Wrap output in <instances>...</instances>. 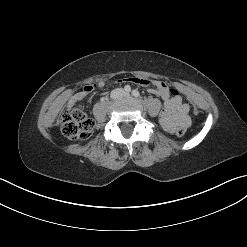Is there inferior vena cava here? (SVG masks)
<instances>
[{"label": "inferior vena cava", "mask_w": 247, "mask_h": 247, "mask_svg": "<svg viewBox=\"0 0 247 247\" xmlns=\"http://www.w3.org/2000/svg\"><path fill=\"white\" fill-rule=\"evenodd\" d=\"M123 89L122 88H118V89H115L111 92V97L112 98H117L119 96H122L123 95Z\"/></svg>", "instance_id": "602c4592"}]
</instances>
